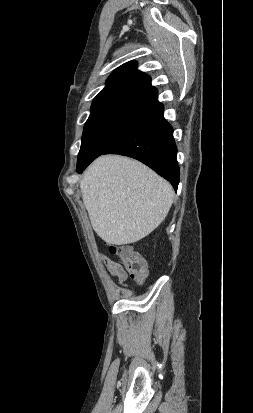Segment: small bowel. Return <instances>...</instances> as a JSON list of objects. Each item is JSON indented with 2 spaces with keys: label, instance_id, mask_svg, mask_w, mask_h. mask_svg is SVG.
<instances>
[{
  "label": "small bowel",
  "instance_id": "c3829d8e",
  "mask_svg": "<svg viewBox=\"0 0 253 413\" xmlns=\"http://www.w3.org/2000/svg\"><path fill=\"white\" fill-rule=\"evenodd\" d=\"M100 259L105 265L106 270L110 273V275L117 278L119 283H124L127 280V272L119 262L112 260L102 253L100 254Z\"/></svg>",
  "mask_w": 253,
  "mask_h": 413
}]
</instances>
